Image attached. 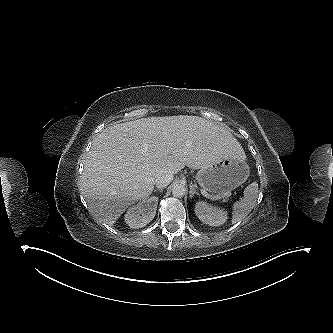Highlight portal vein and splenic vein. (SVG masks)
I'll list each match as a JSON object with an SVG mask.
<instances>
[{"label": "portal vein and splenic vein", "instance_id": "1", "mask_svg": "<svg viewBox=\"0 0 333 333\" xmlns=\"http://www.w3.org/2000/svg\"><path fill=\"white\" fill-rule=\"evenodd\" d=\"M202 193H203V195H205V196L208 197V198H211V199H219L218 196H214V197L210 196L205 190H203ZM223 196H227V197H229V196H231V192H230V191H227V192L223 193Z\"/></svg>", "mask_w": 333, "mask_h": 333}]
</instances>
